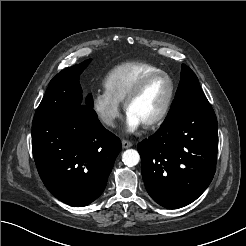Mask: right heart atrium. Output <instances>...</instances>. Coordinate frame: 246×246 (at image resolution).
Instances as JSON below:
<instances>
[{
  "label": "right heart atrium",
  "instance_id": "1",
  "mask_svg": "<svg viewBox=\"0 0 246 246\" xmlns=\"http://www.w3.org/2000/svg\"><path fill=\"white\" fill-rule=\"evenodd\" d=\"M93 112L99 121L108 128L116 125L120 117V103L107 91H97L91 99Z\"/></svg>",
  "mask_w": 246,
  "mask_h": 246
}]
</instances>
